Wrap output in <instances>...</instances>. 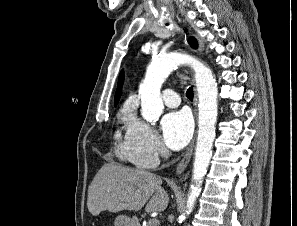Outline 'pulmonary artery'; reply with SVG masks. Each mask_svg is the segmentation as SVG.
<instances>
[{"mask_svg": "<svg viewBox=\"0 0 297 226\" xmlns=\"http://www.w3.org/2000/svg\"><path fill=\"white\" fill-rule=\"evenodd\" d=\"M162 99L166 106L177 107L180 104V98L177 92L172 89H166L162 93Z\"/></svg>", "mask_w": 297, "mask_h": 226, "instance_id": "1", "label": "pulmonary artery"}]
</instances>
